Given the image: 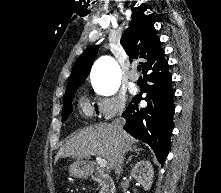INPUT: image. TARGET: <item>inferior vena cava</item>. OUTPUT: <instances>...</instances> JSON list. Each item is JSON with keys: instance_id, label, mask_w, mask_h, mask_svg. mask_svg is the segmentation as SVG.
<instances>
[{"instance_id": "602c4592", "label": "inferior vena cava", "mask_w": 221, "mask_h": 193, "mask_svg": "<svg viewBox=\"0 0 221 193\" xmlns=\"http://www.w3.org/2000/svg\"><path fill=\"white\" fill-rule=\"evenodd\" d=\"M125 124V120L122 118H117L113 122V126L116 130L121 131L123 129V125ZM125 151L122 148H119L115 155L114 161V170L115 174L119 177L122 172V165L124 162Z\"/></svg>"}]
</instances>
